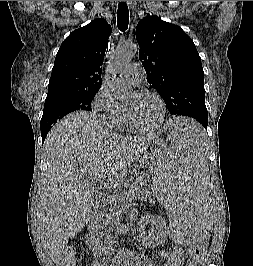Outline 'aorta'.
<instances>
[{"label":"aorta","instance_id":"aorta-1","mask_svg":"<svg viewBox=\"0 0 253 266\" xmlns=\"http://www.w3.org/2000/svg\"><path fill=\"white\" fill-rule=\"evenodd\" d=\"M137 51L136 44L120 45L115 51L113 60L107 66L106 83L118 98H126L132 91V87L122 76V69L133 59Z\"/></svg>","mask_w":253,"mask_h":266}]
</instances>
